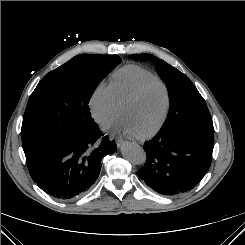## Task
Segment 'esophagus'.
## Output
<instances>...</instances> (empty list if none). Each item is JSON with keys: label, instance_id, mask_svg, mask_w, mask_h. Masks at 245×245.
Segmentation results:
<instances>
[{"label": "esophagus", "instance_id": "obj_1", "mask_svg": "<svg viewBox=\"0 0 245 245\" xmlns=\"http://www.w3.org/2000/svg\"><path fill=\"white\" fill-rule=\"evenodd\" d=\"M125 141L122 138H117L116 139V144L117 146H121Z\"/></svg>", "mask_w": 245, "mask_h": 245}]
</instances>
